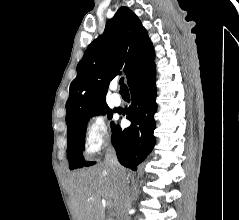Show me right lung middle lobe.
<instances>
[{
	"label": "right lung middle lobe",
	"instance_id": "dd1d6c3e",
	"mask_svg": "<svg viewBox=\"0 0 239 220\" xmlns=\"http://www.w3.org/2000/svg\"><path fill=\"white\" fill-rule=\"evenodd\" d=\"M107 114L108 118L111 119L113 116L112 110L106 107H101L92 112H89L76 121H74L68 127V146H67V155L69 160V168L76 169L83 166L93 165L95 162H87L83 158L82 150L85 148V134H86V124L89 121L90 117L95 115H105ZM113 122L111 123L112 129L114 128Z\"/></svg>",
	"mask_w": 239,
	"mask_h": 220
}]
</instances>
